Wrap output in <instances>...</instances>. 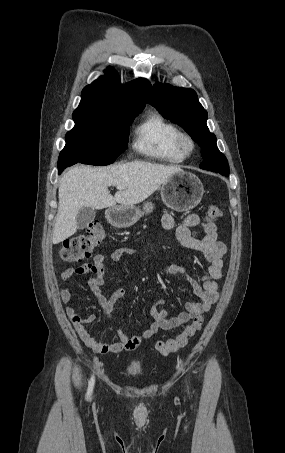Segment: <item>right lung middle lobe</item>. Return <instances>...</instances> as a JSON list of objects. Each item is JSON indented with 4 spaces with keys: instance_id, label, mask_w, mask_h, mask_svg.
Listing matches in <instances>:
<instances>
[{
    "instance_id": "1",
    "label": "right lung middle lobe",
    "mask_w": 285,
    "mask_h": 453,
    "mask_svg": "<svg viewBox=\"0 0 285 453\" xmlns=\"http://www.w3.org/2000/svg\"><path fill=\"white\" fill-rule=\"evenodd\" d=\"M141 112H116L77 108L75 127L66 134V145L59 159L90 165H109L127 149L128 131Z\"/></svg>"
}]
</instances>
